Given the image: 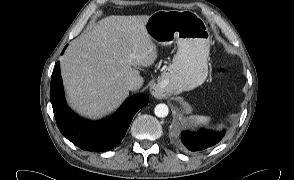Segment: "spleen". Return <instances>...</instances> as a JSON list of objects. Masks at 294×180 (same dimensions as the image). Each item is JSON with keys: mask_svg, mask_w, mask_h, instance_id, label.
<instances>
[{"mask_svg": "<svg viewBox=\"0 0 294 180\" xmlns=\"http://www.w3.org/2000/svg\"><path fill=\"white\" fill-rule=\"evenodd\" d=\"M188 119L192 125H207L211 121V117L201 115H191Z\"/></svg>", "mask_w": 294, "mask_h": 180, "instance_id": "3e777b00", "label": "spleen"}]
</instances>
